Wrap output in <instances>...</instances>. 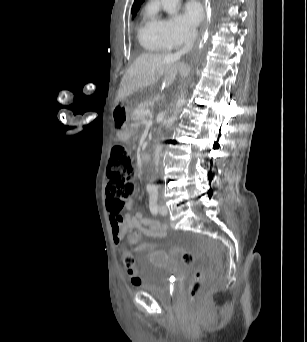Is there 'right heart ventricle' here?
Here are the masks:
<instances>
[{
  "instance_id": "e07e8e85",
  "label": "right heart ventricle",
  "mask_w": 307,
  "mask_h": 342,
  "mask_svg": "<svg viewBox=\"0 0 307 342\" xmlns=\"http://www.w3.org/2000/svg\"><path fill=\"white\" fill-rule=\"evenodd\" d=\"M138 41L146 54H156L167 48V45L162 40L153 35L140 33L138 35Z\"/></svg>"
}]
</instances>
